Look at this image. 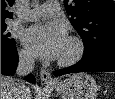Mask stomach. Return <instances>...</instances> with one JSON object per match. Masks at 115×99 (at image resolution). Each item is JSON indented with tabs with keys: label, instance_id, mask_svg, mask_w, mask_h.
<instances>
[{
	"label": "stomach",
	"instance_id": "stomach-1",
	"mask_svg": "<svg viewBox=\"0 0 115 99\" xmlns=\"http://www.w3.org/2000/svg\"><path fill=\"white\" fill-rule=\"evenodd\" d=\"M54 88L63 99H96L99 90L95 79L86 73L74 74Z\"/></svg>",
	"mask_w": 115,
	"mask_h": 99
}]
</instances>
